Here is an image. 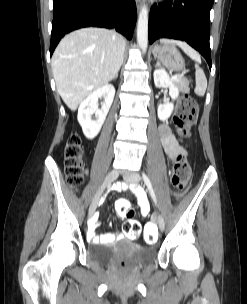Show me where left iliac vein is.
<instances>
[{
  "label": "left iliac vein",
  "instance_id": "left-iliac-vein-1",
  "mask_svg": "<svg viewBox=\"0 0 247 304\" xmlns=\"http://www.w3.org/2000/svg\"><path fill=\"white\" fill-rule=\"evenodd\" d=\"M124 179L128 183L136 184L140 181L141 177L138 173H133V174H130V175H126L124 177ZM155 220L158 224L159 229L161 231H163L165 229V222H164V219H163L162 215H160V214L156 215Z\"/></svg>",
  "mask_w": 247,
  "mask_h": 304
}]
</instances>
